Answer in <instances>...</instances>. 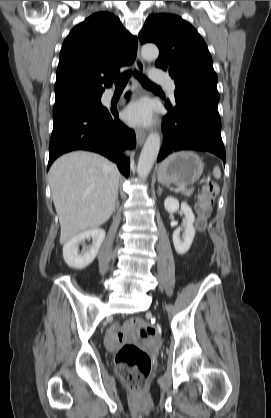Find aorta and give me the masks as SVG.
<instances>
[{
	"mask_svg": "<svg viewBox=\"0 0 271 418\" xmlns=\"http://www.w3.org/2000/svg\"><path fill=\"white\" fill-rule=\"evenodd\" d=\"M142 57L147 60H155L159 56V50L156 45L146 44L141 49ZM160 150V136L158 133H150L140 154L137 172L140 178L146 179L151 172L154 162L157 159Z\"/></svg>",
	"mask_w": 271,
	"mask_h": 418,
	"instance_id": "762f6f07",
	"label": "aorta"
}]
</instances>
